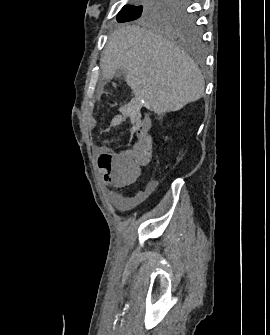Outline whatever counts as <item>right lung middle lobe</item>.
<instances>
[{
  "label": "right lung middle lobe",
  "mask_w": 270,
  "mask_h": 335,
  "mask_svg": "<svg viewBox=\"0 0 270 335\" xmlns=\"http://www.w3.org/2000/svg\"><path fill=\"white\" fill-rule=\"evenodd\" d=\"M185 0H136L125 5L117 15L119 23L139 19L169 33L182 43L198 45L201 32L196 19L188 12Z\"/></svg>",
  "instance_id": "right-lung-middle-lobe-1"
}]
</instances>
